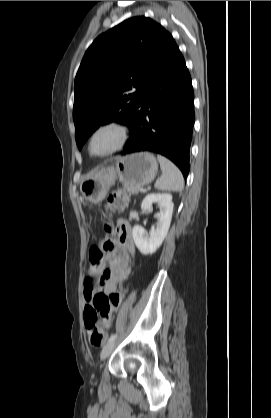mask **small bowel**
Listing matches in <instances>:
<instances>
[{"mask_svg": "<svg viewBox=\"0 0 271 418\" xmlns=\"http://www.w3.org/2000/svg\"><path fill=\"white\" fill-rule=\"evenodd\" d=\"M117 232L118 240L115 247L106 256L111 264L108 276L99 279L98 287L90 280H87L84 286L85 311L93 308L94 298L98 293L109 299L108 308L101 313L107 326L110 324L112 314L119 308L124 294V291L118 290V283L129 274L135 253L131 226L124 220H118ZM91 268L94 273H99L104 268V262L102 261L99 266L92 264Z\"/></svg>", "mask_w": 271, "mask_h": 418, "instance_id": "c3829d8e", "label": "small bowel"}]
</instances>
